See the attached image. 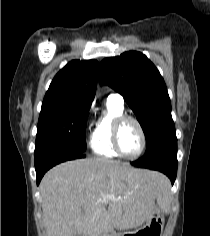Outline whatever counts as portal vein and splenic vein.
<instances>
[{
	"label": "portal vein and splenic vein",
	"instance_id": "18ae733b",
	"mask_svg": "<svg viewBox=\"0 0 210 236\" xmlns=\"http://www.w3.org/2000/svg\"><path fill=\"white\" fill-rule=\"evenodd\" d=\"M108 199H115L113 196H107Z\"/></svg>",
	"mask_w": 210,
	"mask_h": 236
}]
</instances>
